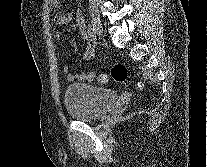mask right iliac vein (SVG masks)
<instances>
[{
    "label": "right iliac vein",
    "instance_id": "1",
    "mask_svg": "<svg viewBox=\"0 0 207 167\" xmlns=\"http://www.w3.org/2000/svg\"><path fill=\"white\" fill-rule=\"evenodd\" d=\"M91 22L96 34L101 37L103 34V26L95 9L91 10Z\"/></svg>",
    "mask_w": 207,
    "mask_h": 167
}]
</instances>
